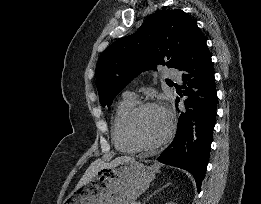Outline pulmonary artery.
I'll return each mask as SVG.
<instances>
[{
    "label": "pulmonary artery",
    "mask_w": 261,
    "mask_h": 204,
    "mask_svg": "<svg viewBox=\"0 0 261 204\" xmlns=\"http://www.w3.org/2000/svg\"><path fill=\"white\" fill-rule=\"evenodd\" d=\"M165 75L167 78L180 80V74L175 69H167ZM124 98L135 99V94L133 92L127 91L124 93Z\"/></svg>",
    "instance_id": "obj_1"
}]
</instances>
